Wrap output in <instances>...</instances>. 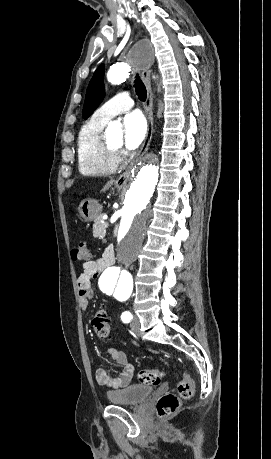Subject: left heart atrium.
<instances>
[{
  "label": "left heart atrium",
  "mask_w": 271,
  "mask_h": 459,
  "mask_svg": "<svg viewBox=\"0 0 271 459\" xmlns=\"http://www.w3.org/2000/svg\"><path fill=\"white\" fill-rule=\"evenodd\" d=\"M124 145L129 149L139 147L147 136V122L140 112H132L124 118Z\"/></svg>",
  "instance_id": "obj_1"
}]
</instances>
